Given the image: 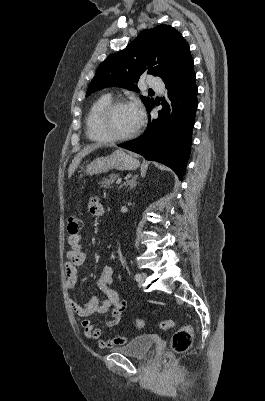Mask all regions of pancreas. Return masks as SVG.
<instances>
[{"label":"pancreas","instance_id":"pancreas-1","mask_svg":"<svg viewBox=\"0 0 265 401\" xmlns=\"http://www.w3.org/2000/svg\"><path fill=\"white\" fill-rule=\"evenodd\" d=\"M116 178H118V174H109L107 178H103V180H101L100 184L101 186H105V188H112V184Z\"/></svg>","mask_w":265,"mask_h":401}]
</instances>
